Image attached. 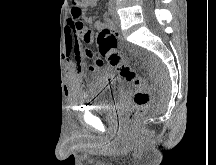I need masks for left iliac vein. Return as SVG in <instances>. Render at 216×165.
<instances>
[{
  "label": "left iliac vein",
  "instance_id": "4c4485c4",
  "mask_svg": "<svg viewBox=\"0 0 216 165\" xmlns=\"http://www.w3.org/2000/svg\"><path fill=\"white\" fill-rule=\"evenodd\" d=\"M114 21H115V23L119 22V16H118V14L116 12L114 13Z\"/></svg>",
  "mask_w": 216,
  "mask_h": 165
}]
</instances>
